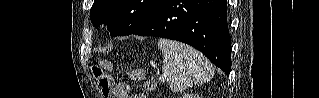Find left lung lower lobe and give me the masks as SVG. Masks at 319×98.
<instances>
[{
    "instance_id": "left-lung-lower-lobe-1",
    "label": "left lung lower lobe",
    "mask_w": 319,
    "mask_h": 98,
    "mask_svg": "<svg viewBox=\"0 0 319 98\" xmlns=\"http://www.w3.org/2000/svg\"><path fill=\"white\" fill-rule=\"evenodd\" d=\"M132 34L187 43L227 75L230 73L231 39L225 0H161L149 20Z\"/></svg>"
}]
</instances>
